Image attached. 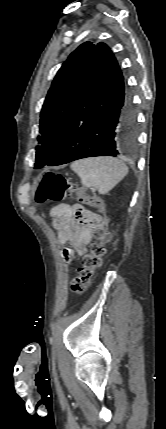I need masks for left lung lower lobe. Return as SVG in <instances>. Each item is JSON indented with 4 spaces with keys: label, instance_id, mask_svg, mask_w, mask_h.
Masks as SVG:
<instances>
[{
    "label": "left lung lower lobe",
    "instance_id": "left-lung-lower-lobe-1",
    "mask_svg": "<svg viewBox=\"0 0 166 429\" xmlns=\"http://www.w3.org/2000/svg\"><path fill=\"white\" fill-rule=\"evenodd\" d=\"M136 140L131 92L111 50L106 44L98 43L87 82L58 145L44 166L128 153Z\"/></svg>",
    "mask_w": 166,
    "mask_h": 429
}]
</instances>
